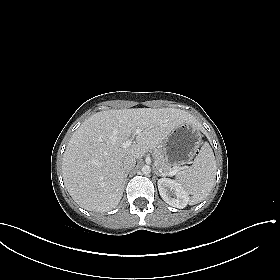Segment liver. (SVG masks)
<instances>
[{"instance_id": "liver-1", "label": "liver", "mask_w": 280, "mask_h": 280, "mask_svg": "<svg viewBox=\"0 0 280 280\" xmlns=\"http://www.w3.org/2000/svg\"><path fill=\"white\" fill-rule=\"evenodd\" d=\"M183 123L197 125L188 112L175 108L100 111L73 133L63 155L64 184L73 200L89 211L107 212L123 195L126 156L142 158ZM137 128L142 132L123 148Z\"/></svg>"}]
</instances>
